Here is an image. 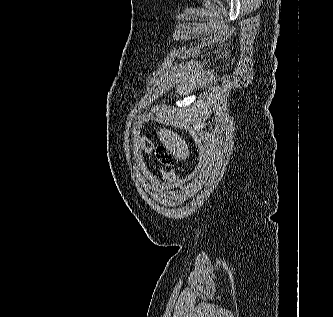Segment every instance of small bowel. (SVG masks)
<instances>
[{"instance_id":"1","label":"small bowel","mask_w":333,"mask_h":317,"mask_svg":"<svg viewBox=\"0 0 333 317\" xmlns=\"http://www.w3.org/2000/svg\"><path fill=\"white\" fill-rule=\"evenodd\" d=\"M146 148H147V140L144 137H139L138 139H136L133 147V158L137 166L141 169L143 173H145V171L142 160V153ZM174 184H175L174 180L170 176L165 178L164 187L166 189L173 188Z\"/></svg>"}]
</instances>
